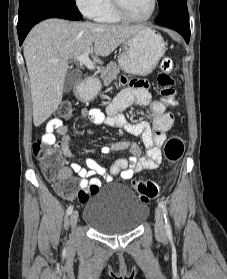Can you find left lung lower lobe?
<instances>
[{
	"instance_id": "obj_1",
	"label": "left lung lower lobe",
	"mask_w": 227,
	"mask_h": 279,
	"mask_svg": "<svg viewBox=\"0 0 227 279\" xmlns=\"http://www.w3.org/2000/svg\"><path fill=\"white\" fill-rule=\"evenodd\" d=\"M155 23L179 32L185 41L190 40V23L187 3H172L161 10Z\"/></svg>"
}]
</instances>
